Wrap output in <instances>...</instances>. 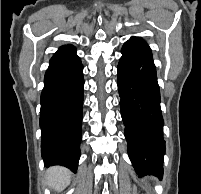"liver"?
I'll use <instances>...</instances> for the list:
<instances>
[{"mask_svg":"<svg viewBox=\"0 0 201 194\" xmlns=\"http://www.w3.org/2000/svg\"><path fill=\"white\" fill-rule=\"evenodd\" d=\"M71 172L60 166L51 167L47 170L46 181L48 186L56 191H62L70 183Z\"/></svg>","mask_w":201,"mask_h":194,"instance_id":"6515ba94","label":"liver"}]
</instances>
